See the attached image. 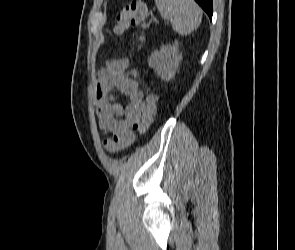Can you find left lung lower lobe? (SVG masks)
<instances>
[{"mask_svg":"<svg viewBox=\"0 0 295 250\" xmlns=\"http://www.w3.org/2000/svg\"><path fill=\"white\" fill-rule=\"evenodd\" d=\"M208 14L210 19L212 18V0H195Z\"/></svg>","mask_w":295,"mask_h":250,"instance_id":"1","label":"left lung lower lobe"}]
</instances>
